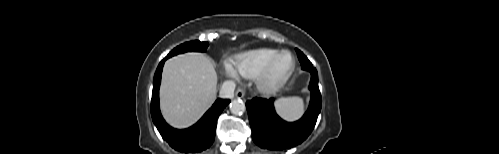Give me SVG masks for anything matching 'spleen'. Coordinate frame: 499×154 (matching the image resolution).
Listing matches in <instances>:
<instances>
[{
    "label": "spleen",
    "mask_w": 499,
    "mask_h": 154,
    "mask_svg": "<svg viewBox=\"0 0 499 154\" xmlns=\"http://www.w3.org/2000/svg\"><path fill=\"white\" fill-rule=\"evenodd\" d=\"M277 113L288 121H294L304 112V101L299 97L279 98L275 102Z\"/></svg>",
    "instance_id": "1"
}]
</instances>
